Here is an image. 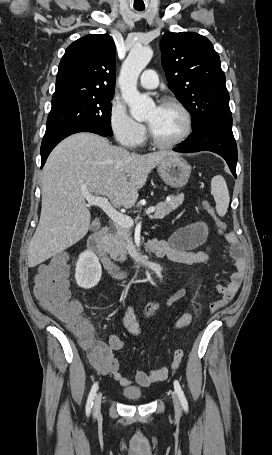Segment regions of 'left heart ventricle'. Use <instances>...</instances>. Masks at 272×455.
<instances>
[{
    "instance_id": "1",
    "label": "left heart ventricle",
    "mask_w": 272,
    "mask_h": 455,
    "mask_svg": "<svg viewBox=\"0 0 272 455\" xmlns=\"http://www.w3.org/2000/svg\"><path fill=\"white\" fill-rule=\"evenodd\" d=\"M145 121L153 134L161 141H172L184 130V118L181 112L172 106L153 107L147 113Z\"/></svg>"
}]
</instances>
